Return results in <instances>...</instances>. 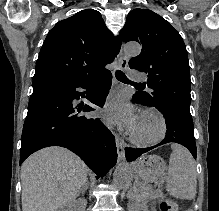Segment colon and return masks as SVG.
I'll list each match as a JSON object with an SVG mask.
<instances>
[{
	"label": "colon",
	"instance_id": "obj_1",
	"mask_svg": "<svg viewBox=\"0 0 219 211\" xmlns=\"http://www.w3.org/2000/svg\"><path fill=\"white\" fill-rule=\"evenodd\" d=\"M159 205L161 211H178L177 203L169 198H162Z\"/></svg>",
	"mask_w": 219,
	"mask_h": 211
}]
</instances>
